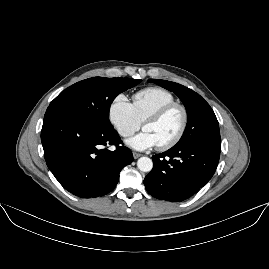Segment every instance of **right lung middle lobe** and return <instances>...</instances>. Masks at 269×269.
Segmentation results:
<instances>
[{"mask_svg": "<svg viewBox=\"0 0 269 269\" xmlns=\"http://www.w3.org/2000/svg\"><path fill=\"white\" fill-rule=\"evenodd\" d=\"M140 82L132 78H89L65 89L48 108L64 110L96 125L112 128L108 117L112 101L119 93Z\"/></svg>", "mask_w": 269, "mask_h": 269, "instance_id": "right-lung-middle-lobe-1", "label": "right lung middle lobe"}]
</instances>
